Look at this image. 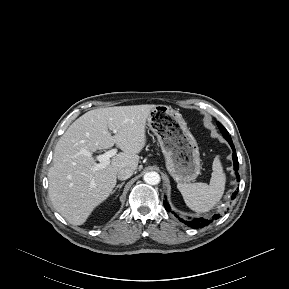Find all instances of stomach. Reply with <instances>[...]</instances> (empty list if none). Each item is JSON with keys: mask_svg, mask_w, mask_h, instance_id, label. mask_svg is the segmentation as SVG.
Returning <instances> with one entry per match:
<instances>
[{"mask_svg": "<svg viewBox=\"0 0 289 289\" xmlns=\"http://www.w3.org/2000/svg\"><path fill=\"white\" fill-rule=\"evenodd\" d=\"M147 125L158 139L173 179L178 183L196 179L201 169L199 148L182 115L170 106L156 105Z\"/></svg>", "mask_w": 289, "mask_h": 289, "instance_id": "stomach-1", "label": "stomach"}]
</instances>
